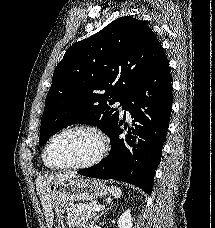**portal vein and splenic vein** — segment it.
Returning <instances> with one entry per match:
<instances>
[{
	"label": "portal vein and splenic vein",
	"instance_id": "portal-vein-and-splenic-vein-1",
	"mask_svg": "<svg viewBox=\"0 0 215 228\" xmlns=\"http://www.w3.org/2000/svg\"><path fill=\"white\" fill-rule=\"evenodd\" d=\"M78 210H90V212H100V210H103V206H85V204H80L78 206Z\"/></svg>",
	"mask_w": 215,
	"mask_h": 228
}]
</instances>
